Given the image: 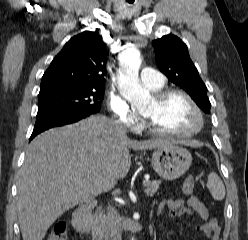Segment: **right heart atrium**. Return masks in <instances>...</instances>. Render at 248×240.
<instances>
[{"mask_svg":"<svg viewBox=\"0 0 248 240\" xmlns=\"http://www.w3.org/2000/svg\"><path fill=\"white\" fill-rule=\"evenodd\" d=\"M109 109L116 121L128 129L137 130L140 127V118L121 96L114 95L110 98Z\"/></svg>","mask_w":248,"mask_h":240,"instance_id":"right-heart-atrium-1","label":"right heart atrium"}]
</instances>
